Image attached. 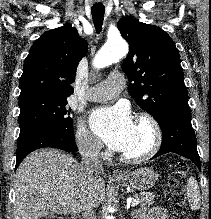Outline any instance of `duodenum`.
<instances>
[{"label": "duodenum", "mask_w": 211, "mask_h": 219, "mask_svg": "<svg viewBox=\"0 0 211 219\" xmlns=\"http://www.w3.org/2000/svg\"><path fill=\"white\" fill-rule=\"evenodd\" d=\"M69 219H77V218H75V217H71V218H69Z\"/></svg>", "instance_id": "duodenum-1"}]
</instances>
